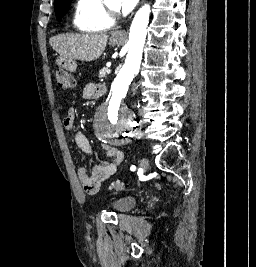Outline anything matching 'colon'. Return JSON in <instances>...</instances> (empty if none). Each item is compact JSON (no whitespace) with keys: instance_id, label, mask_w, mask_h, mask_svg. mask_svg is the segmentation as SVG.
<instances>
[{"instance_id":"colon-1","label":"colon","mask_w":256,"mask_h":267,"mask_svg":"<svg viewBox=\"0 0 256 267\" xmlns=\"http://www.w3.org/2000/svg\"><path fill=\"white\" fill-rule=\"evenodd\" d=\"M55 79L57 85L62 89H70L74 86L75 80L71 73H64V71H56ZM154 187L158 190L161 189V185L158 182H154ZM128 189V185L119 181L111 182L109 184V190L114 192H123Z\"/></svg>"}]
</instances>
